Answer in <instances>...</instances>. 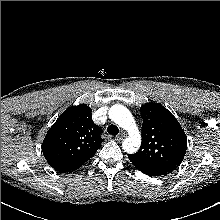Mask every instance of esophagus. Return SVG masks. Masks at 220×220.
Wrapping results in <instances>:
<instances>
[{
  "mask_svg": "<svg viewBox=\"0 0 220 220\" xmlns=\"http://www.w3.org/2000/svg\"><path fill=\"white\" fill-rule=\"evenodd\" d=\"M125 136H126L125 133H121L120 135L115 137V140L116 141H122L125 138Z\"/></svg>",
  "mask_w": 220,
  "mask_h": 220,
  "instance_id": "obj_1",
  "label": "esophagus"
}]
</instances>
